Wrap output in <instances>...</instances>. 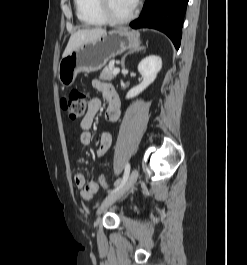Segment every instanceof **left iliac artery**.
<instances>
[{"instance_id":"44dca946","label":"left iliac artery","mask_w":247,"mask_h":265,"mask_svg":"<svg viewBox=\"0 0 247 265\" xmlns=\"http://www.w3.org/2000/svg\"><path fill=\"white\" fill-rule=\"evenodd\" d=\"M129 173H130V164L127 163L126 166H125V171H124L123 178L116 183V188L111 190V191H109V194H112V193L116 192L126 182L128 176H129Z\"/></svg>"}]
</instances>
